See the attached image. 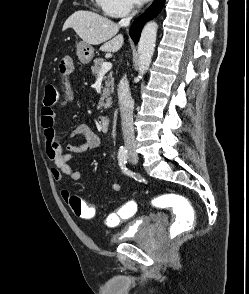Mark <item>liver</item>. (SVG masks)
Instances as JSON below:
<instances>
[{
    "label": "liver",
    "mask_w": 249,
    "mask_h": 294,
    "mask_svg": "<svg viewBox=\"0 0 249 294\" xmlns=\"http://www.w3.org/2000/svg\"><path fill=\"white\" fill-rule=\"evenodd\" d=\"M73 28L83 42L99 45L105 52H117L123 45V35L118 34L119 25L97 13L85 10L74 12L64 23L63 30Z\"/></svg>",
    "instance_id": "6515ba94"
}]
</instances>
